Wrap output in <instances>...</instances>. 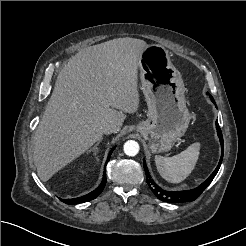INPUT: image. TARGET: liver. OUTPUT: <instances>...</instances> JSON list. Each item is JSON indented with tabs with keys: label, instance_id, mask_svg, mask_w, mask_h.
I'll return each instance as SVG.
<instances>
[{
	"label": "liver",
	"instance_id": "6515ba94",
	"mask_svg": "<svg viewBox=\"0 0 246 246\" xmlns=\"http://www.w3.org/2000/svg\"><path fill=\"white\" fill-rule=\"evenodd\" d=\"M148 46L117 38L82 49L63 67L33 137L42 181L98 142L103 124H113L117 133L126 114L138 110L139 61Z\"/></svg>",
	"mask_w": 246,
	"mask_h": 246
}]
</instances>
